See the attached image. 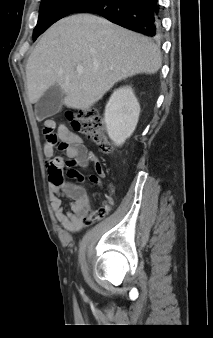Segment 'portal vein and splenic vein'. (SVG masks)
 I'll return each instance as SVG.
<instances>
[{
    "mask_svg": "<svg viewBox=\"0 0 213 338\" xmlns=\"http://www.w3.org/2000/svg\"><path fill=\"white\" fill-rule=\"evenodd\" d=\"M77 73L81 75L83 73V68L82 67H77L76 69Z\"/></svg>",
    "mask_w": 213,
    "mask_h": 338,
    "instance_id": "obj_1",
    "label": "portal vein and splenic vein"
}]
</instances>
